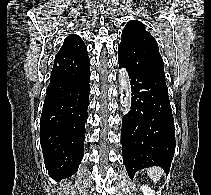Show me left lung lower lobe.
<instances>
[{
    "mask_svg": "<svg viewBox=\"0 0 211 195\" xmlns=\"http://www.w3.org/2000/svg\"><path fill=\"white\" fill-rule=\"evenodd\" d=\"M131 79V110L122 120L123 162L130 178L142 168L169 171L175 152L174 119L166 84L144 69L128 65L118 55Z\"/></svg>",
    "mask_w": 211,
    "mask_h": 195,
    "instance_id": "0a47b994",
    "label": "left lung lower lobe"
}]
</instances>
